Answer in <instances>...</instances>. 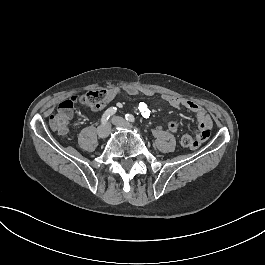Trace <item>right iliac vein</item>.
<instances>
[{"instance_id":"63e3f726","label":"right iliac vein","mask_w":265,"mask_h":265,"mask_svg":"<svg viewBox=\"0 0 265 265\" xmlns=\"http://www.w3.org/2000/svg\"><path fill=\"white\" fill-rule=\"evenodd\" d=\"M98 136L100 138H106L109 135V124L101 125L97 129Z\"/></svg>"}]
</instances>
